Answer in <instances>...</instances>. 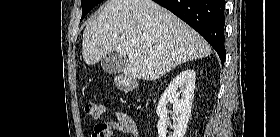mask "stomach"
<instances>
[{"label":"stomach","instance_id":"0dacf381","mask_svg":"<svg viewBox=\"0 0 280 137\" xmlns=\"http://www.w3.org/2000/svg\"><path fill=\"white\" fill-rule=\"evenodd\" d=\"M117 85L121 88H127L128 87V85L126 83H122V82H118Z\"/></svg>","mask_w":280,"mask_h":137}]
</instances>
